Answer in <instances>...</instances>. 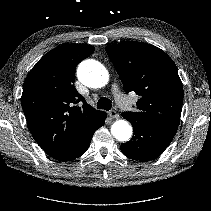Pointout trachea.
Listing matches in <instances>:
<instances>
[{"label":"trachea","mask_w":211,"mask_h":211,"mask_svg":"<svg viewBox=\"0 0 211 211\" xmlns=\"http://www.w3.org/2000/svg\"><path fill=\"white\" fill-rule=\"evenodd\" d=\"M97 108L109 111L112 108V102L108 98L102 97L97 102Z\"/></svg>","instance_id":"1"}]
</instances>
